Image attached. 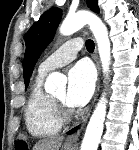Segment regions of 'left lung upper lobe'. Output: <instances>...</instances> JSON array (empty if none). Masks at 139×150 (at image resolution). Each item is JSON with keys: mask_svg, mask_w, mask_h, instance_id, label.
I'll return each mask as SVG.
<instances>
[{"mask_svg": "<svg viewBox=\"0 0 139 150\" xmlns=\"http://www.w3.org/2000/svg\"><path fill=\"white\" fill-rule=\"evenodd\" d=\"M87 4L92 11L99 12L97 0H87ZM61 16L62 12L59 8L49 9L41 15L26 34V51L23 60V76L26 88L39 56L54 37Z\"/></svg>", "mask_w": 139, "mask_h": 150, "instance_id": "left-lung-upper-lobe-1", "label": "left lung upper lobe"}]
</instances>
